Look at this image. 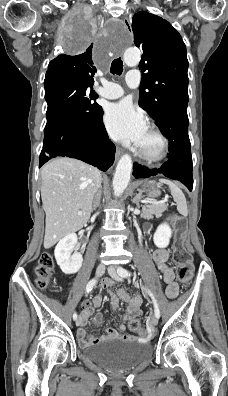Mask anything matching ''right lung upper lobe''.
I'll list each match as a JSON object with an SVG mask.
<instances>
[{"label": "right lung upper lobe", "mask_w": 228, "mask_h": 396, "mask_svg": "<svg viewBox=\"0 0 228 396\" xmlns=\"http://www.w3.org/2000/svg\"><path fill=\"white\" fill-rule=\"evenodd\" d=\"M91 44L78 55L61 54L49 63L45 78L71 77L93 84L96 68L92 61Z\"/></svg>", "instance_id": "right-lung-upper-lobe-1"}]
</instances>
